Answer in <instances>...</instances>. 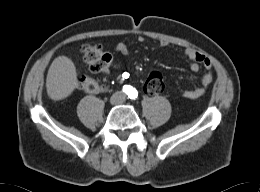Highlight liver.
<instances>
[{
    "mask_svg": "<svg viewBox=\"0 0 260 192\" xmlns=\"http://www.w3.org/2000/svg\"><path fill=\"white\" fill-rule=\"evenodd\" d=\"M77 87V71L73 61L66 56L55 58L46 78L48 96L55 101L62 100L71 95Z\"/></svg>",
    "mask_w": 260,
    "mask_h": 192,
    "instance_id": "obj_1",
    "label": "liver"
}]
</instances>
